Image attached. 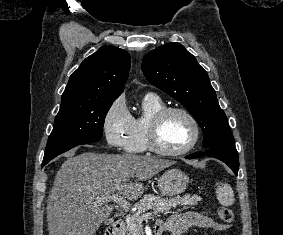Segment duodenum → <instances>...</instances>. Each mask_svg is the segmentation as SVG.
Returning a JSON list of instances; mask_svg holds the SVG:
<instances>
[{
    "instance_id": "duodenum-1",
    "label": "duodenum",
    "mask_w": 283,
    "mask_h": 235,
    "mask_svg": "<svg viewBox=\"0 0 283 235\" xmlns=\"http://www.w3.org/2000/svg\"><path fill=\"white\" fill-rule=\"evenodd\" d=\"M123 228H124V221L116 220L109 226L106 234L107 235H121ZM155 233L156 235H161L160 224H156Z\"/></svg>"
}]
</instances>
